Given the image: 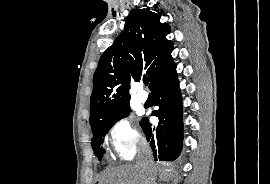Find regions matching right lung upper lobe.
Wrapping results in <instances>:
<instances>
[{
  "label": "right lung upper lobe",
  "mask_w": 270,
  "mask_h": 184,
  "mask_svg": "<svg viewBox=\"0 0 270 184\" xmlns=\"http://www.w3.org/2000/svg\"><path fill=\"white\" fill-rule=\"evenodd\" d=\"M161 13L132 10L124 31L100 57L93 76L90 125L111 118L129 105V82L148 76L149 88L174 63L173 43L166 39L170 26L160 22Z\"/></svg>",
  "instance_id": "obj_1"
}]
</instances>
